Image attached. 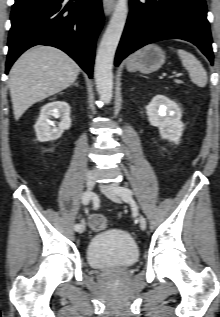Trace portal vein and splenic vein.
Segmentation results:
<instances>
[{
	"label": "portal vein and splenic vein",
	"mask_w": 220,
	"mask_h": 317,
	"mask_svg": "<svg viewBox=\"0 0 220 317\" xmlns=\"http://www.w3.org/2000/svg\"><path fill=\"white\" fill-rule=\"evenodd\" d=\"M181 75L182 74H180V73H174V76L177 77V78H179Z\"/></svg>",
	"instance_id": "1"
}]
</instances>
